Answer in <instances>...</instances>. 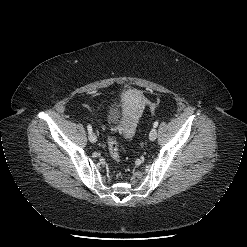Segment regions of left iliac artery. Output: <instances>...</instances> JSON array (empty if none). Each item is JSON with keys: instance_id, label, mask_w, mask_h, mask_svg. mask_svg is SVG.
I'll use <instances>...</instances> for the list:
<instances>
[{"instance_id": "left-iliac-artery-1", "label": "left iliac artery", "mask_w": 247, "mask_h": 247, "mask_svg": "<svg viewBox=\"0 0 247 247\" xmlns=\"http://www.w3.org/2000/svg\"><path fill=\"white\" fill-rule=\"evenodd\" d=\"M159 122L158 121H155L153 126L156 128L158 126Z\"/></svg>"}]
</instances>
